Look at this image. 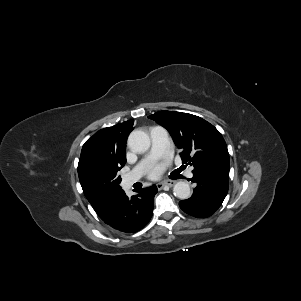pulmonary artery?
Wrapping results in <instances>:
<instances>
[{"label":"pulmonary artery","instance_id":"obj_1","mask_svg":"<svg viewBox=\"0 0 301 301\" xmlns=\"http://www.w3.org/2000/svg\"><path fill=\"white\" fill-rule=\"evenodd\" d=\"M150 138H151V149L148 155L142 160V162L130 173L124 176L123 185L125 187L131 186L133 183L137 182L144 168L154 160L162 157L168 147L169 135L165 128L161 126H154L150 129ZM188 177H192L193 174L191 171L187 172Z\"/></svg>","mask_w":301,"mask_h":301}]
</instances>
